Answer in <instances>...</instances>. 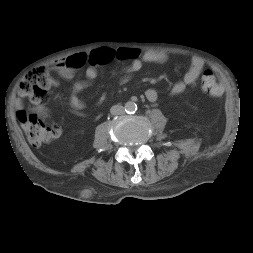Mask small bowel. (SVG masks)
<instances>
[{
  "label": "small bowel",
  "mask_w": 253,
  "mask_h": 253,
  "mask_svg": "<svg viewBox=\"0 0 253 253\" xmlns=\"http://www.w3.org/2000/svg\"><path fill=\"white\" fill-rule=\"evenodd\" d=\"M168 56L164 53L147 51L141 53L134 48H97L88 53H77L58 62L59 73L65 80H72L77 70L82 69L85 74L84 80L76 81L72 86L71 96L67 105L68 109L80 114L85 109V103L80 98V94L90 88L93 81L97 78L98 68L109 64L112 61H128L129 64L118 72L114 79L121 85L129 82L133 75L137 73L143 65V62L164 63ZM205 72L204 61L199 57H194L189 68L180 81L175 82L170 88V94L178 95L185 89L194 84ZM145 97L150 102H155L158 93L155 89H148ZM43 116L47 115L44 107L37 109Z\"/></svg>",
  "instance_id": "obj_1"
}]
</instances>
